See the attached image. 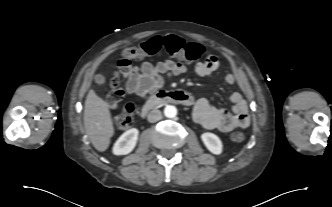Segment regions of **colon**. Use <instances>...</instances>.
<instances>
[{"label":"colon","mask_w":332,"mask_h":207,"mask_svg":"<svg viewBox=\"0 0 332 207\" xmlns=\"http://www.w3.org/2000/svg\"><path fill=\"white\" fill-rule=\"evenodd\" d=\"M161 49H165L170 55L184 60L188 63L196 62L202 55V46L194 42H186L182 38L175 35L155 36L146 42L137 44L126 49L118 61V71L108 82V103L116 108L122 100L124 91L121 87V78L128 72L131 61L140 59L145 56H151L158 53ZM133 122V107L127 105L123 112L117 117L115 127L118 130L128 129ZM233 142H242L244 134L241 132H233L230 136Z\"/></svg>","instance_id":"obj_1"}]
</instances>
